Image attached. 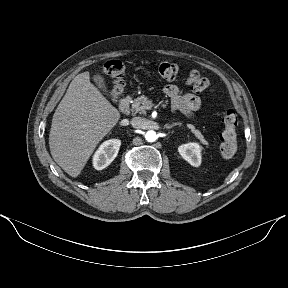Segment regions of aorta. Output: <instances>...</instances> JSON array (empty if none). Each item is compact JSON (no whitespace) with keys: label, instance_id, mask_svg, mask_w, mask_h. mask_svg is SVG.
<instances>
[{"label":"aorta","instance_id":"aorta-1","mask_svg":"<svg viewBox=\"0 0 288 288\" xmlns=\"http://www.w3.org/2000/svg\"><path fill=\"white\" fill-rule=\"evenodd\" d=\"M145 139L148 141V142H154L156 139H157V134L155 131L153 130H149L146 132L145 134Z\"/></svg>","mask_w":288,"mask_h":288}]
</instances>
